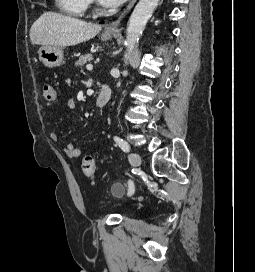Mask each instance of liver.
Wrapping results in <instances>:
<instances>
[{
	"mask_svg": "<svg viewBox=\"0 0 255 272\" xmlns=\"http://www.w3.org/2000/svg\"><path fill=\"white\" fill-rule=\"evenodd\" d=\"M101 26L55 12L43 13L31 26L30 40L42 46H73L94 38Z\"/></svg>",
	"mask_w": 255,
	"mask_h": 272,
	"instance_id": "liver-1",
	"label": "liver"
}]
</instances>
